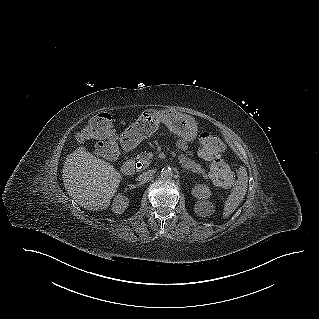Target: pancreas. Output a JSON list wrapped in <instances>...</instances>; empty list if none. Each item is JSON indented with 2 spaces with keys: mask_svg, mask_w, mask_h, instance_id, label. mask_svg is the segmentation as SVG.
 <instances>
[{
  "mask_svg": "<svg viewBox=\"0 0 319 319\" xmlns=\"http://www.w3.org/2000/svg\"><path fill=\"white\" fill-rule=\"evenodd\" d=\"M152 156L148 153H144L141 155H138L136 160L141 162L143 164V168H147L149 164L151 163ZM179 162L181 163L182 167L190 170L194 173L200 174L203 176V178L207 179L208 175L206 174L205 169L201 168V165L196 163L194 160H191L190 158L185 157L184 155L179 156Z\"/></svg>",
  "mask_w": 319,
  "mask_h": 319,
  "instance_id": "obj_1",
  "label": "pancreas"
}]
</instances>
